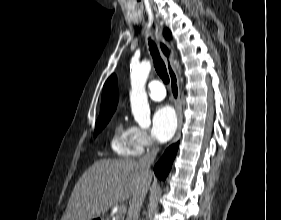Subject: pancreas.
I'll list each match as a JSON object with an SVG mask.
<instances>
[{"label":"pancreas","instance_id":"pancreas-1","mask_svg":"<svg viewBox=\"0 0 281 220\" xmlns=\"http://www.w3.org/2000/svg\"><path fill=\"white\" fill-rule=\"evenodd\" d=\"M107 220H110V219H107ZM114 220H124V215L122 213H119Z\"/></svg>","mask_w":281,"mask_h":220}]
</instances>
